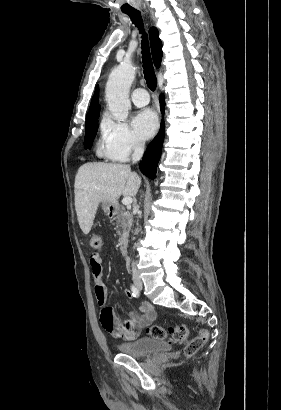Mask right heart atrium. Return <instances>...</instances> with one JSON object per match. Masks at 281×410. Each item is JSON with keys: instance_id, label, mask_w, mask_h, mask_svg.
Wrapping results in <instances>:
<instances>
[{"instance_id": "right-heart-atrium-1", "label": "right heart atrium", "mask_w": 281, "mask_h": 410, "mask_svg": "<svg viewBox=\"0 0 281 410\" xmlns=\"http://www.w3.org/2000/svg\"><path fill=\"white\" fill-rule=\"evenodd\" d=\"M101 128L108 158L112 160L125 161L132 154L138 153L144 148L143 141L125 122L105 117Z\"/></svg>"}]
</instances>
